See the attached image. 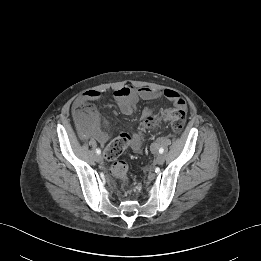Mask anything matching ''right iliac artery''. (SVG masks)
Returning a JSON list of instances; mask_svg holds the SVG:
<instances>
[{
  "mask_svg": "<svg viewBox=\"0 0 261 261\" xmlns=\"http://www.w3.org/2000/svg\"><path fill=\"white\" fill-rule=\"evenodd\" d=\"M97 154H101V150L99 148L96 149Z\"/></svg>",
  "mask_w": 261,
  "mask_h": 261,
  "instance_id": "1",
  "label": "right iliac artery"
}]
</instances>
